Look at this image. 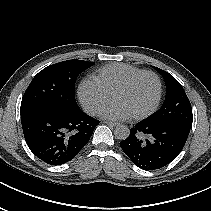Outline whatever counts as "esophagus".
<instances>
[{
  "instance_id": "esophagus-1",
  "label": "esophagus",
  "mask_w": 211,
  "mask_h": 211,
  "mask_svg": "<svg viewBox=\"0 0 211 211\" xmlns=\"http://www.w3.org/2000/svg\"><path fill=\"white\" fill-rule=\"evenodd\" d=\"M104 123H105L106 125L110 126V127H115V126H117V123L110 122V121H105Z\"/></svg>"
}]
</instances>
